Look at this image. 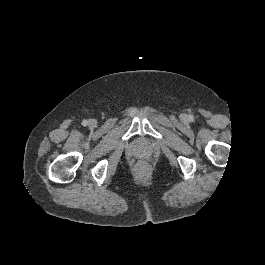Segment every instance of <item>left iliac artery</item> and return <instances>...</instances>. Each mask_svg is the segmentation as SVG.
<instances>
[{"label":"left iliac artery","instance_id":"left-iliac-artery-1","mask_svg":"<svg viewBox=\"0 0 265 265\" xmlns=\"http://www.w3.org/2000/svg\"><path fill=\"white\" fill-rule=\"evenodd\" d=\"M189 119H190V120H193V119H194V117H193L192 115H190V116H189Z\"/></svg>","mask_w":265,"mask_h":265}]
</instances>
